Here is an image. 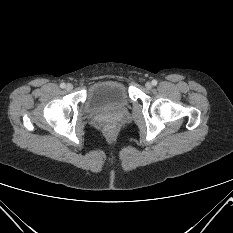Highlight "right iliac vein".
Returning a JSON list of instances; mask_svg holds the SVG:
<instances>
[{
	"instance_id": "right-iliac-vein-1",
	"label": "right iliac vein",
	"mask_w": 233,
	"mask_h": 233,
	"mask_svg": "<svg viewBox=\"0 0 233 233\" xmlns=\"http://www.w3.org/2000/svg\"><path fill=\"white\" fill-rule=\"evenodd\" d=\"M72 89H73V85L72 84L69 83V84L66 85V90L67 91H71Z\"/></svg>"
}]
</instances>
